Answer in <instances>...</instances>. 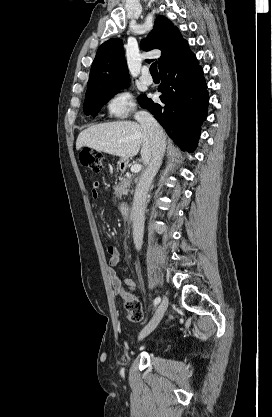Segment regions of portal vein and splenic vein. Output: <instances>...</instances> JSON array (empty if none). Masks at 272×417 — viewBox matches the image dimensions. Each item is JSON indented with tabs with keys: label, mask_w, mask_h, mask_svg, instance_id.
<instances>
[{
	"label": "portal vein and splenic vein",
	"mask_w": 272,
	"mask_h": 417,
	"mask_svg": "<svg viewBox=\"0 0 272 417\" xmlns=\"http://www.w3.org/2000/svg\"><path fill=\"white\" fill-rule=\"evenodd\" d=\"M141 168H142L141 164H134L131 167V172L132 173H138V172L141 171Z\"/></svg>",
	"instance_id": "1"
}]
</instances>
